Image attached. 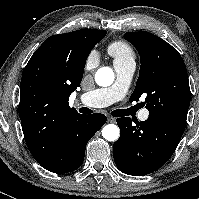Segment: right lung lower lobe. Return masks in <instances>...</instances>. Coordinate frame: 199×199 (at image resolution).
<instances>
[{"label": "right lung lower lobe", "mask_w": 199, "mask_h": 199, "mask_svg": "<svg viewBox=\"0 0 199 199\" xmlns=\"http://www.w3.org/2000/svg\"><path fill=\"white\" fill-rule=\"evenodd\" d=\"M105 115H76L67 120L58 135L41 143L26 141L34 159L53 173L78 169L84 160L87 142L105 124Z\"/></svg>", "instance_id": "right-lung-lower-lobe-1"}]
</instances>
